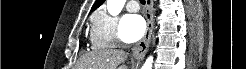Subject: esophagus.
<instances>
[{
  "instance_id": "obj_1",
  "label": "esophagus",
  "mask_w": 246,
  "mask_h": 69,
  "mask_svg": "<svg viewBox=\"0 0 246 69\" xmlns=\"http://www.w3.org/2000/svg\"><path fill=\"white\" fill-rule=\"evenodd\" d=\"M146 6L148 8V12L146 15L147 30L143 38V41L139 42L132 48V55L135 59H140L144 57L148 50L151 40V34L153 30V0H146Z\"/></svg>"
}]
</instances>
